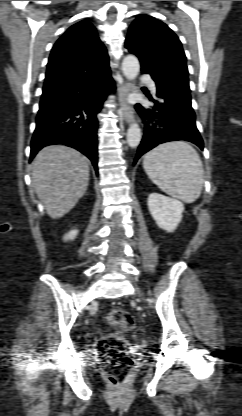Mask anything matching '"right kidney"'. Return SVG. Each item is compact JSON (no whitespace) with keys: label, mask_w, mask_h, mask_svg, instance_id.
I'll list each match as a JSON object with an SVG mask.
<instances>
[{"label":"right kidney","mask_w":242,"mask_h":416,"mask_svg":"<svg viewBox=\"0 0 242 416\" xmlns=\"http://www.w3.org/2000/svg\"><path fill=\"white\" fill-rule=\"evenodd\" d=\"M78 234L77 230H71L68 234L64 236V240H73Z\"/></svg>","instance_id":"1"}]
</instances>
